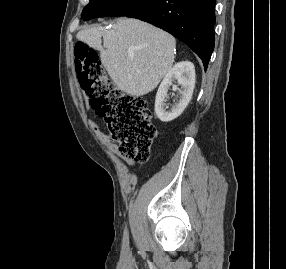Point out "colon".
I'll return each instance as SVG.
<instances>
[{
  "label": "colon",
  "instance_id": "5ec220e1",
  "mask_svg": "<svg viewBox=\"0 0 286 269\" xmlns=\"http://www.w3.org/2000/svg\"><path fill=\"white\" fill-rule=\"evenodd\" d=\"M74 64L81 88L104 119L120 154L138 162L147 161L156 137L148 101L117 89L107 78L97 53L83 42L74 46Z\"/></svg>",
  "mask_w": 286,
  "mask_h": 269
}]
</instances>
